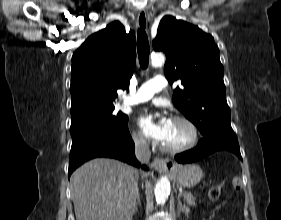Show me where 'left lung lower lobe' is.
Masks as SVG:
<instances>
[{
  "instance_id": "0a47b994",
  "label": "left lung lower lobe",
  "mask_w": 281,
  "mask_h": 220,
  "mask_svg": "<svg viewBox=\"0 0 281 220\" xmlns=\"http://www.w3.org/2000/svg\"><path fill=\"white\" fill-rule=\"evenodd\" d=\"M221 150L233 152L242 160L238 139L236 136L226 133L214 137L205 136L196 148L176 155L175 159L178 163H190Z\"/></svg>"
}]
</instances>
